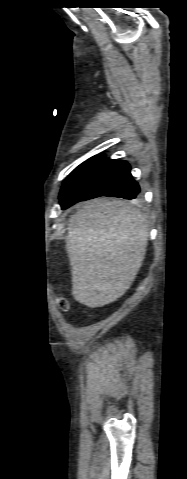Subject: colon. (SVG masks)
<instances>
[{"instance_id": "obj_1", "label": "colon", "mask_w": 187, "mask_h": 479, "mask_svg": "<svg viewBox=\"0 0 187 479\" xmlns=\"http://www.w3.org/2000/svg\"><path fill=\"white\" fill-rule=\"evenodd\" d=\"M58 306L63 311H68L70 309V305H69L68 301L66 299H63V298L58 300Z\"/></svg>"}]
</instances>
